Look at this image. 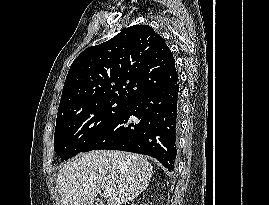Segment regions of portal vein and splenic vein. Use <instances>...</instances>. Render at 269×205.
<instances>
[{
  "mask_svg": "<svg viewBox=\"0 0 269 205\" xmlns=\"http://www.w3.org/2000/svg\"><path fill=\"white\" fill-rule=\"evenodd\" d=\"M112 194V190L111 189H105L104 190V195L110 196Z\"/></svg>",
  "mask_w": 269,
  "mask_h": 205,
  "instance_id": "1",
  "label": "portal vein and splenic vein"
}]
</instances>
